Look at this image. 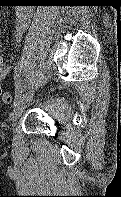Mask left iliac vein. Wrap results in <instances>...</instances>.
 I'll list each match as a JSON object with an SVG mask.
<instances>
[{"label":"left iliac vein","instance_id":"1","mask_svg":"<svg viewBox=\"0 0 121 197\" xmlns=\"http://www.w3.org/2000/svg\"><path fill=\"white\" fill-rule=\"evenodd\" d=\"M33 92L34 91L32 89H29L28 91H26L22 95V97L19 100V102L15 105L13 111L10 114V121L12 122V124L16 123L18 118L22 115V113L26 109V107L29 104V102L32 100Z\"/></svg>","mask_w":121,"mask_h":197}]
</instances>
